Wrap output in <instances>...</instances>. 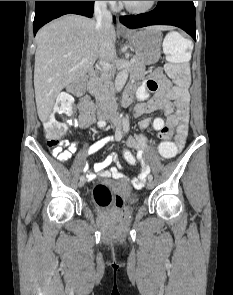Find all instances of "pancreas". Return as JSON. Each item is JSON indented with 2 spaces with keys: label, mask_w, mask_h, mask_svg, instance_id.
Returning <instances> with one entry per match:
<instances>
[{
  "label": "pancreas",
  "mask_w": 233,
  "mask_h": 295,
  "mask_svg": "<svg viewBox=\"0 0 233 295\" xmlns=\"http://www.w3.org/2000/svg\"><path fill=\"white\" fill-rule=\"evenodd\" d=\"M132 74L137 79L143 78L146 74L144 64L138 59H136L132 65ZM111 75V73L102 70L97 76L90 80L89 92L98 99L104 98Z\"/></svg>",
  "instance_id": "cf45deb5"
}]
</instances>
